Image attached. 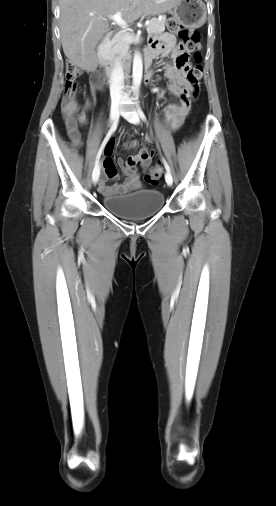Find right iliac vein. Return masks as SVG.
Segmentation results:
<instances>
[{"mask_svg": "<svg viewBox=\"0 0 276 506\" xmlns=\"http://www.w3.org/2000/svg\"><path fill=\"white\" fill-rule=\"evenodd\" d=\"M119 111H120L119 106L112 107L111 114H110L111 121H116V119L119 116ZM98 171H99V166H97V168H95V173H98ZM92 179H93V183L96 184L98 181L97 177L96 176L93 177V174H92Z\"/></svg>", "mask_w": 276, "mask_h": 506, "instance_id": "obj_1", "label": "right iliac vein"}]
</instances>
